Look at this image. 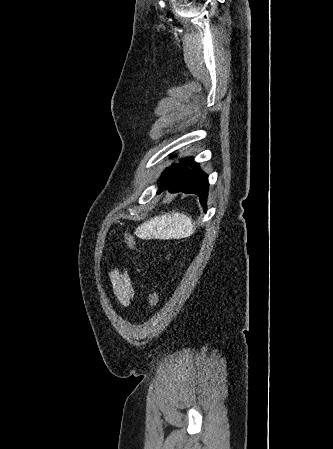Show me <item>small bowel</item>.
Masks as SVG:
<instances>
[{
	"label": "small bowel",
	"instance_id": "c3829d8e",
	"mask_svg": "<svg viewBox=\"0 0 333 449\" xmlns=\"http://www.w3.org/2000/svg\"><path fill=\"white\" fill-rule=\"evenodd\" d=\"M110 280L117 300L125 307L130 306L134 298V291L127 273L114 270L110 274Z\"/></svg>",
	"mask_w": 333,
	"mask_h": 449
}]
</instances>
